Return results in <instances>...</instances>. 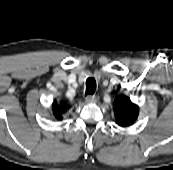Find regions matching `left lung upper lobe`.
Returning <instances> with one entry per match:
<instances>
[{"mask_svg":"<svg viewBox=\"0 0 173 170\" xmlns=\"http://www.w3.org/2000/svg\"><path fill=\"white\" fill-rule=\"evenodd\" d=\"M115 117L121 127L132 125L138 117L139 108L124 95L115 98Z\"/></svg>","mask_w":173,"mask_h":170,"instance_id":"left-lung-upper-lobe-1","label":"left lung upper lobe"}]
</instances>
